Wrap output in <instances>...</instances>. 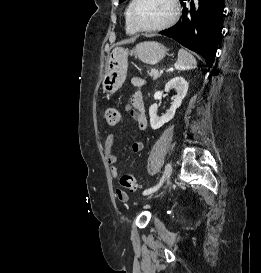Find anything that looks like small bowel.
I'll use <instances>...</instances> for the list:
<instances>
[{
	"label": "small bowel",
	"mask_w": 261,
	"mask_h": 273,
	"mask_svg": "<svg viewBox=\"0 0 261 273\" xmlns=\"http://www.w3.org/2000/svg\"><path fill=\"white\" fill-rule=\"evenodd\" d=\"M132 84L136 87H142L145 85V80L141 77H134L132 79ZM126 112L130 114L132 119L137 123L138 130H144L147 127V118L145 115V104L143 94L140 91L135 92L130 103L124 106ZM116 140L115 133H109L105 139L104 143V153L106 156L107 163L110 168V174L113 178H117L119 171L117 168V157L114 151V143ZM144 144L142 140L137 136L131 144V150L135 153L141 152L143 150ZM116 196L121 202H126L128 200V195L126 192L117 189Z\"/></svg>",
	"instance_id": "small-bowel-1"
}]
</instances>
